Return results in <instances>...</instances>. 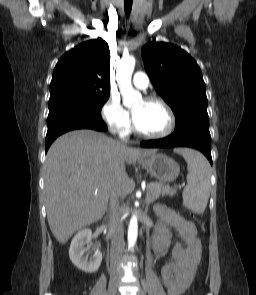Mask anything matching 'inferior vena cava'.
Here are the masks:
<instances>
[{
  "mask_svg": "<svg viewBox=\"0 0 256 295\" xmlns=\"http://www.w3.org/2000/svg\"><path fill=\"white\" fill-rule=\"evenodd\" d=\"M123 195L118 184H114L110 191V222H111V273L118 272V261L124 248V230L120 221L122 208L120 197Z\"/></svg>",
  "mask_w": 256,
  "mask_h": 295,
  "instance_id": "1",
  "label": "inferior vena cava"
}]
</instances>
